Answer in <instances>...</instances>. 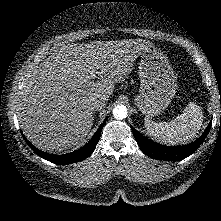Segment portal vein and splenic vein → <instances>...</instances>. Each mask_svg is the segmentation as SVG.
Masks as SVG:
<instances>
[{
    "instance_id": "obj_1",
    "label": "portal vein and splenic vein",
    "mask_w": 221,
    "mask_h": 221,
    "mask_svg": "<svg viewBox=\"0 0 221 221\" xmlns=\"http://www.w3.org/2000/svg\"><path fill=\"white\" fill-rule=\"evenodd\" d=\"M92 78H95V74L94 73H91V75H90Z\"/></svg>"
}]
</instances>
